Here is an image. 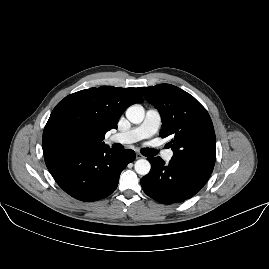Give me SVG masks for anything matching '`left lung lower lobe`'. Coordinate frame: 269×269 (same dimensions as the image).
I'll return each mask as SVG.
<instances>
[{
    "instance_id": "0a47b994",
    "label": "left lung lower lobe",
    "mask_w": 269,
    "mask_h": 269,
    "mask_svg": "<svg viewBox=\"0 0 269 269\" xmlns=\"http://www.w3.org/2000/svg\"><path fill=\"white\" fill-rule=\"evenodd\" d=\"M148 160L151 171L141 179L142 188L148 196L163 204L179 203L193 197L212 173L172 159L168 165L160 157Z\"/></svg>"
}]
</instances>
